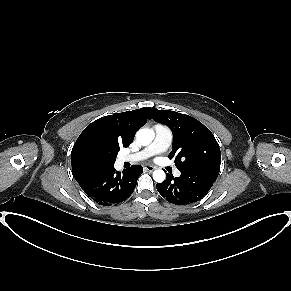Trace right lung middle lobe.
<instances>
[{"instance_id":"1","label":"right lung middle lobe","mask_w":291,"mask_h":291,"mask_svg":"<svg viewBox=\"0 0 291 291\" xmlns=\"http://www.w3.org/2000/svg\"><path fill=\"white\" fill-rule=\"evenodd\" d=\"M117 153H107L100 148H93L89 153V159L92 163L114 167Z\"/></svg>"}]
</instances>
